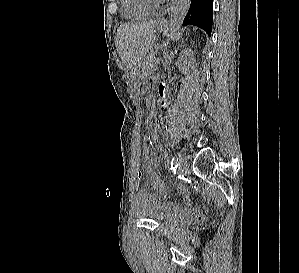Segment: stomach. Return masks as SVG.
I'll return each instance as SVG.
<instances>
[{
    "mask_svg": "<svg viewBox=\"0 0 299 273\" xmlns=\"http://www.w3.org/2000/svg\"><path fill=\"white\" fill-rule=\"evenodd\" d=\"M157 29L159 32H163L167 29L166 24L158 23ZM146 82H147V77L145 75H141L136 78V89L139 94H143L146 91Z\"/></svg>",
    "mask_w": 299,
    "mask_h": 273,
    "instance_id": "1",
    "label": "stomach"
}]
</instances>
